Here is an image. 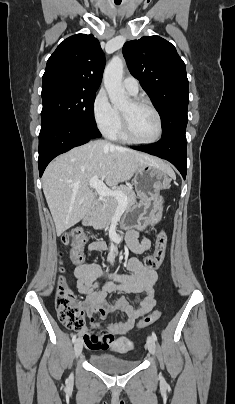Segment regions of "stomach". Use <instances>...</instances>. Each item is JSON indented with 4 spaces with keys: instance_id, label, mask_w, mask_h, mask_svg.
I'll return each instance as SVG.
<instances>
[{
    "instance_id": "1",
    "label": "stomach",
    "mask_w": 235,
    "mask_h": 404,
    "mask_svg": "<svg viewBox=\"0 0 235 404\" xmlns=\"http://www.w3.org/2000/svg\"><path fill=\"white\" fill-rule=\"evenodd\" d=\"M171 178L165 171L153 164L139 167L134 176V185L139 203L131 206L123 217L124 228L139 231L154 226L162 217V197L160 191L170 187Z\"/></svg>"
}]
</instances>
